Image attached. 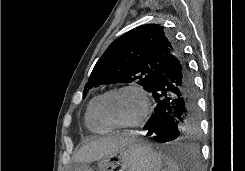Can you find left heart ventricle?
I'll list each match as a JSON object with an SVG mask.
<instances>
[{"label": "left heart ventricle", "instance_id": "b2bd125f", "mask_svg": "<svg viewBox=\"0 0 245 171\" xmlns=\"http://www.w3.org/2000/svg\"><path fill=\"white\" fill-rule=\"evenodd\" d=\"M143 109L139 94L126 90L109 95L104 102L106 116L115 123H130L136 120Z\"/></svg>", "mask_w": 245, "mask_h": 171}]
</instances>
